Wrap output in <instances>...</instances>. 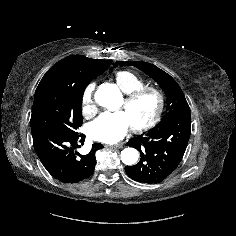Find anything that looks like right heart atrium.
Instances as JSON below:
<instances>
[{"label": "right heart atrium", "instance_id": "1", "mask_svg": "<svg viewBox=\"0 0 236 236\" xmlns=\"http://www.w3.org/2000/svg\"><path fill=\"white\" fill-rule=\"evenodd\" d=\"M95 85L92 83L86 87L83 97H82V105H83V113L86 116H92L96 113V105L93 100Z\"/></svg>", "mask_w": 236, "mask_h": 236}]
</instances>
